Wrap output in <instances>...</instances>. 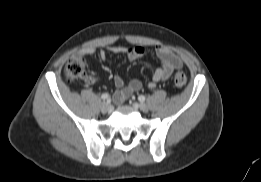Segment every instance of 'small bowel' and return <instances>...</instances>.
<instances>
[{"instance_id": "small-bowel-1", "label": "small bowel", "mask_w": 261, "mask_h": 182, "mask_svg": "<svg viewBox=\"0 0 261 182\" xmlns=\"http://www.w3.org/2000/svg\"><path fill=\"white\" fill-rule=\"evenodd\" d=\"M97 52L102 61H106L107 52L113 54H124L129 60L133 61L143 57L146 50L141 46L133 48H127L125 46H108L107 48L98 51L94 46H87L79 50L74 57L84 59L85 57ZM155 53L161 60L162 64L155 70L152 80L148 83V87L151 89L156 86L157 82L166 80L174 70L181 68L183 65L181 58L165 46H157L155 48ZM88 82H95V78H89ZM114 84L117 88V91L114 94L116 102L124 101L132 93L142 88V82L139 79H132L128 84H125L124 78L120 74L114 76Z\"/></svg>"}]
</instances>
